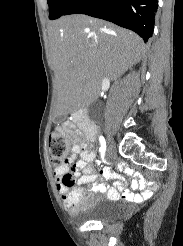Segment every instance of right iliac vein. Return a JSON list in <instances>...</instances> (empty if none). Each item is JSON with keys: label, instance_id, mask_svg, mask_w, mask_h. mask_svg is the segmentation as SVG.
I'll use <instances>...</instances> for the list:
<instances>
[{"label": "right iliac vein", "instance_id": "obj_1", "mask_svg": "<svg viewBox=\"0 0 183 246\" xmlns=\"http://www.w3.org/2000/svg\"><path fill=\"white\" fill-rule=\"evenodd\" d=\"M107 144H108V146H107V156H109L110 151H111L112 148H113L112 140H111L110 137L107 138Z\"/></svg>", "mask_w": 183, "mask_h": 246}]
</instances>
